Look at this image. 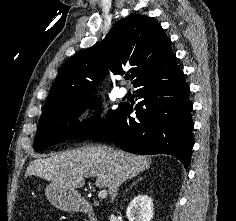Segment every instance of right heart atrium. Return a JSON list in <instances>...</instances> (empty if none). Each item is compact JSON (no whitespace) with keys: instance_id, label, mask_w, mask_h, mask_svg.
<instances>
[{"instance_id":"right-heart-atrium-1","label":"right heart atrium","mask_w":236,"mask_h":221,"mask_svg":"<svg viewBox=\"0 0 236 221\" xmlns=\"http://www.w3.org/2000/svg\"><path fill=\"white\" fill-rule=\"evenodd\" d=\"M86 118H87L89 123L95 124V123H97V122L102 120V114H101L99 109H97V108H90L86 112Z\"/></svg>"}]
</instances>
